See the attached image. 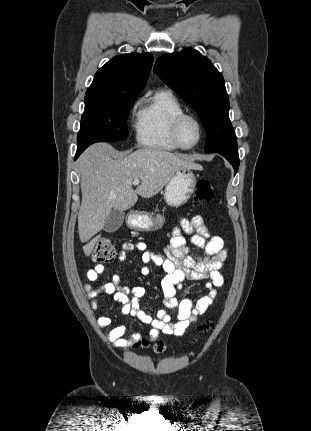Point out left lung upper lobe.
<instances>
[{"mask_svg":"<svg viewBox=\"0 0 311 431\" xmlns=\"http://www.w3.org/2000/svg\"><path fill=\"white\" fill-rule=\"evenodd\" d=\"M155 71L197 112L207 133L205 152L238 151L224 79L207 57L187 48L161 56Z\"/></svg>","mask_w":311,"mask_h":431,"instance_id":"1","label":"left lung upper lobe"}]
</instances>
